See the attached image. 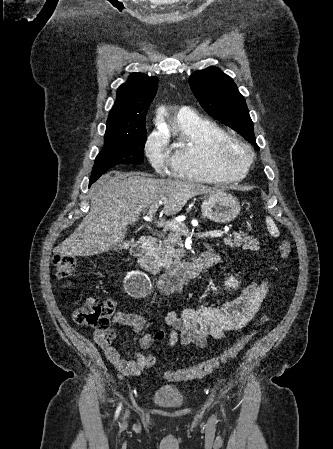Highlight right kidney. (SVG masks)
<instances>
[{"instance_id":"ca27d5eb","label":"right kidney","mask_w":333,"mask_h":449,"mask_svg":"<svg viewBox=\"0 0 333 449\" xmlns=\"http://www.w3.org/2000/svg\"><path fill=\"white\" fill-rule=\"evenodd\" d=\"M125 290L129 295H145L151 290V281L142 272H131L125 278Z\"/></svg>"}]
</instances>
